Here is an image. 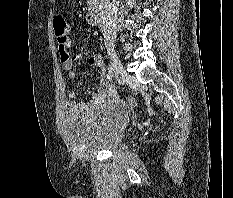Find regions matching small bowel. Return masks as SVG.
I'll return each instance as SVG.
<instances>
[{"label":"small bowel","instance_id":"c3829d8e","mask_svg":"<svg viewBox=\"0 0 233 198\" xmlns=\"http://www.w3.org/2000/svg\"><path fill=\"white\" fill-rule=\"evenodd\" d=\"M58 53L62 67L66 71V75L70 79H75L77 77V71L74 68V63L83 59L84 55H70L67 51V47L70 44V40L66 42L58 41ZM89 65L100 71V82L98 90L94 93L92 99L89 102L75 101L76 90L72 89L68 93V98L71 101V108L78 111H94L101 104L107 101L116 100V93L111 85V83L106 79L104 75V61L101 55L95 54L89 57Z\"/></svg>","mask_w":233,"mask_h":198}]
</instances>
